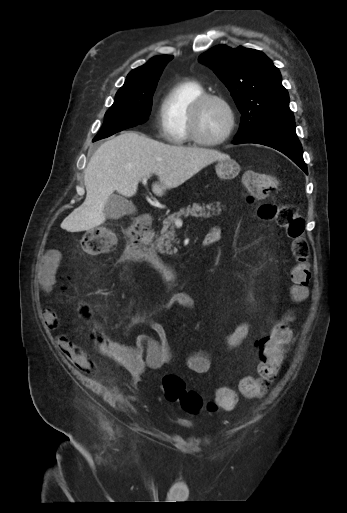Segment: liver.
Instances as JSON below:
<instances>
[{
    "instance_id": "1",
    "label": "liver",
    "mask_w": 347,
    "mask_h": 513,
    "mask_svg": "<svg viewBox=\"0 0 347 513\" xmlns=\"http://www.w3.org/2000/svg\"><path fill=\"white\" fill-rule=\"evenodd\" d=\"M230 158L218 150L173 146L138 132H123L104 142L91 157L84 174L86 199L61 223L68 232L91 230L106 221L105 203L114 191L132 197L138 183L152 173L161 182L152 191L162 196L216 160Z\"/></svg>"
}]
</instances>
